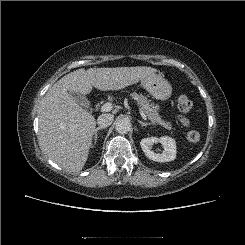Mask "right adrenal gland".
I'll return each mask as SVG.
<instances>
[{
  "label": "right adrenal gland",
  "mask_w": 245,
  "mask_h": 245,
  "mask_svg": "<svg viewBox=\"0 0 245 245\" xmlns=\"http://www.w3.org/2000/svg\"><path fill=\"white\" fill-rule=\"evenodd\" d=\"M102 129H104V128H103V127H98V128L95 129V132H94V139H93L94 144H95L96 141H97V132H98L99 130H102Z\"/></svg>",
  "instance_id": "right-adrenal-gland-1"
}]
</instances>
